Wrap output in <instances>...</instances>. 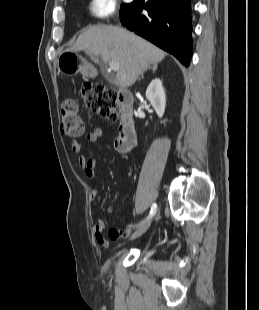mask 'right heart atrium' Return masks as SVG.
Returning a JSON list of instances; mask_svg holds the SVG:
<instances>
[{"label":"right heart atrium","instance_id":"right-heart-atrium-1","mask_svg":"<svg viewBox=\"0 0 259 310\" xmlns=\"http://www.w3.org/2000/svg\"><path fill=\"white\" fill-rule=\"evenodd\" d=\"M86 9L91 18L105 20L116 13L117 0H88Z\"/></svg>","mask_w":259,"mask_h":310}]
</instances>
